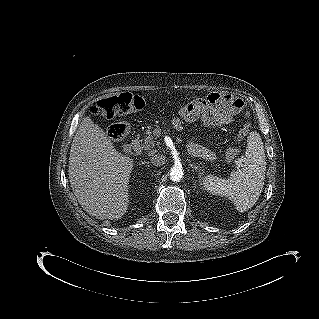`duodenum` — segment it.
Segmentation results:
<instances>
[{"mask_svg": "<svg viewBox=\"0 0 319 319\" xmlns=\"http://www.w3.org/2000/svg\"><path fill=\"white\" fill-rule=\"evenodd\" d=\"M141 148L140 141L138 139H135L130 144V153L131 154H138Z\"/></svg>", "mask_w": 319, "mask_h": 319, "instance_id": "obj_1", "label": "duodenum"}]
</instances>
